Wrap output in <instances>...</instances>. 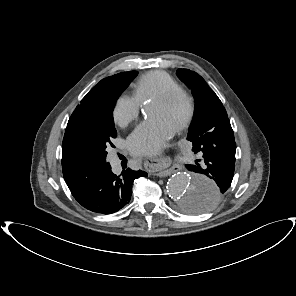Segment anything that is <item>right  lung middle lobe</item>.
Masks as SVG:
<instances>
[{
  "label": "right lung middle lobe",
  "mask_w": 296,
  "mask_h": 296,
  "mask_svg": "<svg viewBox=\"0 0 296 296\" xmlns=\"http://www.w3.org/2000/svg\"><path fill=\"white\" fill-rule=\"evenodd\" d=\"M137 75V71L116 74L80 107V125L63 140L62 159L79 171L90 172L106 162L108 146L117 136L113 121L116 100Z\"/></svg>",
  "instance_id": "dd1d6c3e"
}]
</instances>
